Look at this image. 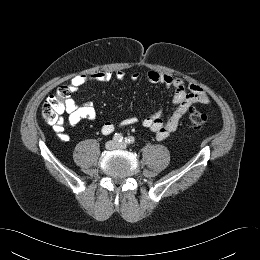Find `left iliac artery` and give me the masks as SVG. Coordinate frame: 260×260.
I'll return each instance as SVG.
<instances>
[{"label":"left iliac artery","mask_w":260,"mask_h":260,"mask_svg":"<svg viewBox=\"0 0 260 260\" xmlns=\"http://www.w3.org/2000/svg\"><path fill=\"white\" fill-rule=\"evenodd\" d=\"M124 141L126 144H133L135 142V138L133 136H129L126 137Z\"/></svg>","instance_id":"obj_1"}]
</instances>
